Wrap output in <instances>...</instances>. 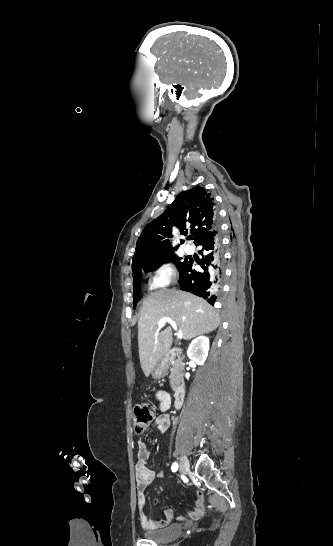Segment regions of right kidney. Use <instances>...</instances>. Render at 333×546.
Returning a JSON list of instances; mask_svg holds the SVG:
<instances>
[{"instance_id":"ca27d5eb","label":"right kidney","mask_w":333,"mask_h":546,"mask_svg":"<svg viewBox=\"0 0 333 546\" xmlns=\"http://www.w3.org/2000/svg\"><path fill=\"white\" fill-rule=\"evenodd\" d=\"M209 350V338L200 336L194 339L188 347L187 355L198 365H203L206 361Z\"/></svg>"}]
</instances>
